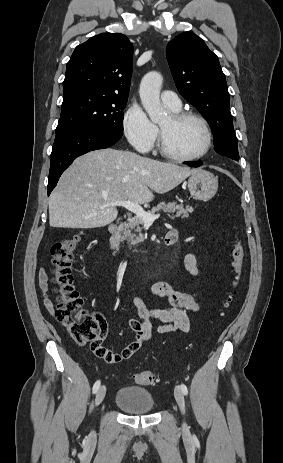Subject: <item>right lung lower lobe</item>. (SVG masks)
Here are the masks:
<instances>
[{"mask_svg": "<svg viewBox=\"0 0 283 463\" xmlns=\"http://www.w3.org/2000/svg\"><path fill=\"white\" fill-rule=\"evenodd\" d=\"M121 134L99 128H83L56 135L50 156L48 195L64 170L80 155L115 144Z\"/></svg>", "mask_w": 283, "mask_h": 463, "instance_id": "98d812e1", "label": "right lung lower lobe"}]
</instances>
